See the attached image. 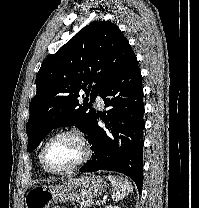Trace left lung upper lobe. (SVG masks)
Returning a JSON list of instances; mask_svg holds the SVG:
<instances>
[{
  "instance_id": "obj_1",
  "label": "left lung upper lobe",
  "mask_w": 199,
  "mask_h": 208,
  "mask_svg": "<svg viewBox=\"0 0 199 208\" xmlns=\"http://www.w3.org/2000/svg\"><path fill=\"white\" fill-rule=\"evenodd\" d=\"M133 55L117 25L94 21L47 57L36 76L37 91L30 103L27 150L33 151L52 129L61 126L75 125L89 135L96 112L88 101L95 100ZM81 90L90 97L83 103L78 99Z\"/></svg>"
}]
</instances>
